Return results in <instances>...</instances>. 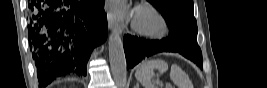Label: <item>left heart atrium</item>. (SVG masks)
I'll return each instance as SVG.
<instances>
[{"label":"left heart atrium","instance_id":"39dd6f15","mask_svg":"<svg viewBox=\"0 0 267 88\" xmlns=\"http://www.w3.org/2000/svg\"><path fill=\"white\" fill-rule=\"evenodd\" d=\"M109 10L111 16L118 21H123L129 16L128 7L122 1H112Z\"/></svg>","mask_w":267,"mask_h":88}]
</instances>
